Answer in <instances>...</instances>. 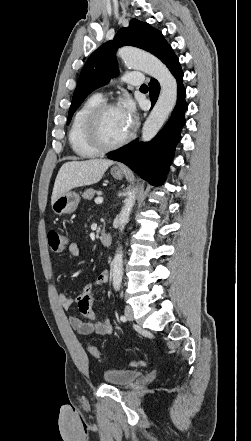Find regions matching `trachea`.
<instances>
[{
  "label": "trachea",
  "mask_w": 251,
  "mask_h": 441,
  "mask_svg": "<svg viewBox=\"0 0 251 441\" xmlns=\"http://www.w3.org/2000/svg\"><path fill=\"white\" fill-rule=\"evenodd\" d=\"M142 89L148 88V86L146 84L141 85Z\"/></svg>",
  "instance_id": "1"
}]
</instances>
